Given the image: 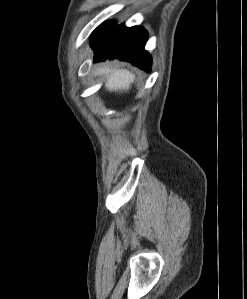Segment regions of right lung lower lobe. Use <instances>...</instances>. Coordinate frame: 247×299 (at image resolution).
Listing matches in <instances>:
<instances>
[{
  "label": "right lung lower lobe",
  "instance_id": "1",
  "mask_svg": "<svg viewBox=\"0 0 247 299\" xmlns=\"http://www.w3.org/2000/svg\"><path fill=\"white\" fill-rule=\"evenodd\" d=\"M147 38L148 33L143 27L114 24L92 35L91 47L97 61L118 58L150 72L151 56L144 49Z\"/></svg>",
  "mask_w": 247,
  "mask_h": 299
}]
</instances>
